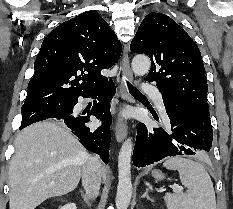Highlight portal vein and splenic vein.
<instances>
[{"instance_id":"portal-vein-and-splenic-vein-1","label":"portal vein and splenic vein","mask_w":233,"mask_h":209,"mask_svg":"<svg viewBox=\"0 0 233 209\" xmlns=\"http://www.w3.org/2000/svg\"><path fill=\"white\" fill-rule=\"evenodd\" d=\"M181 191H182L181 187L174 189V192H181Z\"/></svg>"}]
</instances>
